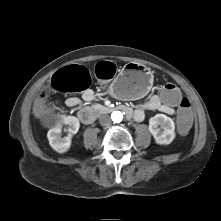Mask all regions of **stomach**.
<instances>
[{"mask_svg":"<svg viewBox=\"0 0 221 221\" xmlns=\"http://www.w3.org/2000/svg\"><path fill=\"white\" fill-rule=\"evenodd\" d=\"M153 84V74L146 66L129 62L110 85L111 93L120 99L132 100L144 96Z\"/></svg>","mask_w":221,"mask_h":221,"instance_id":"obj_1","label":"stomach"}]
</instances>
